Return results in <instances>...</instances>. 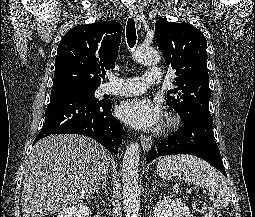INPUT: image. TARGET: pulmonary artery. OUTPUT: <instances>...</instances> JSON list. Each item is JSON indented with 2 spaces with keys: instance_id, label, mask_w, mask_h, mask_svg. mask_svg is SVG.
I'll return each mask as SVG.
<instances>
[{
  "instance_id": "1",
  "label": "pulmonary artery",
  "mask_w": 255,
  "mask_h": 217,
  "mask_svg": "<svg viewBox=\"0 0 255 217\" xmlns=\"http://www.w3.org/2000/svg\"><path fill=\"white\" fill-rule=\"evenodd\" d=\"M161 79L162 72L158 67L149 68L144 75L139 77L121 78L110 75L111 83L104 87V92L109 95L120 96L139 95L145 92L150 85L159 83Z\"/></svg>"
}]
</instances>
